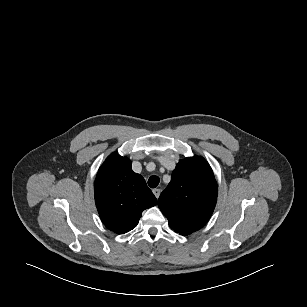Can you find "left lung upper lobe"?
I'll return each instance as SVG.
<instances>
[{"mask_svg": "<svg viewBox=\"0 0 307 307\" xmlns=\"http://www.w3.org/2000/svg\"><path fill=\"white\" fill-rule=\"evenodd\" d=\"M218 187L211 167L202 157L180 160L158 206L169 226L181 235L202 228L216 205Z\"/></svg>", "mask_w": 307, "mask_h": 307, "instance_id": "left-lung-upper-lobe-1", "label": "left lung upper lobe"}]
</instances>
